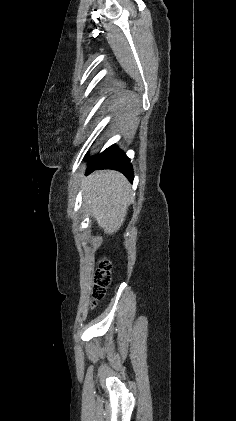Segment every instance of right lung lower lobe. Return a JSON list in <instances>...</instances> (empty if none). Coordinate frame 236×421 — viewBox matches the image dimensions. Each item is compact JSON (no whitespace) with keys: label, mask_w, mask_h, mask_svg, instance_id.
I'll list each match as a JSON object with an SVG mask.
<instances>
[{"label":"right lung lower lobe","mask_w":236,"mask_h":421,"mask_svg":"<svg viewBox=\"0 0 236 421\" xmlns=\"http://www.w3.org/2000/svg\"><path fill=\"white\" fill-rule=\"evenodd\" d=\"M96 169H114L122 172L132 182L133 168L130 159L116 145L105 149L89 160L87 174Z\"/></svg>","instance_id":"98d812e1"}]
</instances>
